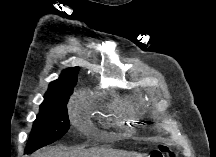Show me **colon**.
Masks as SVG:
<instances>
[{
	"instance_id": "1",
	"label": "colon",
	"mask_w": 216,
	"mask_h": 157,
	"mask_svg": "<svg viewBox=\"0 0 216 157\" xmlns=\"http://www.w3.org/2000/svg\"><path fill=\"white\" fill-rule=\"evenodd\" d=\"M166 155L173 157L174 154L170 152L167 146H160L151 152L150 157H165Z\"/></svg>"
}]
</instances>
